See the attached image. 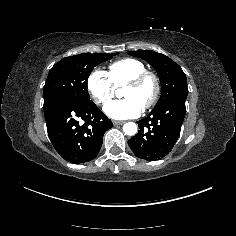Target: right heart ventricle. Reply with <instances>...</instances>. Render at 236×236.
Listing matches in <instances>:
<instances>
[{
	"mask_svg": "<svg viewBox=\"0 0 236 236\" xmlns=\"http://www.w3.org/2000/svg\"><path fill=\"white\" fill-rule=\"evenodd\" d=\"M145 70L146 67L142 61L135 58H123L109 65L108 74L117 89H121L129 79Z\"/></svg>",
	"mask_w": 236,
	"mask_h": 236,
	"instance_id": "e07e8e85",
	"label": "right heart ventricle"
}]
</instances>
